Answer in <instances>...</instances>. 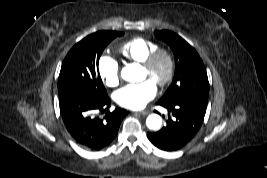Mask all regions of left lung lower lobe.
Returning a JSON list of instances; mask_svg holds the SVG:
<instances>
[{"label":"left lung lower lobe","mask_w":267,"mask_h":178,"mask_svg":"<svg viewBox=\"0 0 267 178\" xmlns=\"http://www.w3.org/2000/svg\"><path fill=\"white\" fill-rule=\"evenodd\" d=\"M157 105L163 106L169 113L172 112L174 119L167 120L166 126L161 130L148 133V139L164 151L181 149L199 131L206 113V106L193 101H158Z\"/></svg>","instance_id":"1"}]
</instances>
